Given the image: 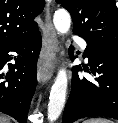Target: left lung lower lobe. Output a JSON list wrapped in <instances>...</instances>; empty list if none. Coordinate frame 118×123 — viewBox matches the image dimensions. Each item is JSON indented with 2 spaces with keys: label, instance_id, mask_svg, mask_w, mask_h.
I'll return each instance as SVG.
<instances>
[{
  "label": "left lung lower lobe",
  "instance_id": "obj_1",
  "mask_svg": "<svg viewBox=\"0 0 118 123\" xmlns=\"http://www.w3.org/2000/svg\"><path fill=\"white\" fill-rule=\"evenodd\" d=\"M73 50V47L69 48L71 59L75 58ZM84 57L89 59L90 66L84 70L96 76V82L78 75V70H82L80 65L73 68L71 93L62 123L90 116L118 119V52L87 43Z\"/></svg>",
  "mask_w": 118,
  "mask_h": 123
}]
</instances>
